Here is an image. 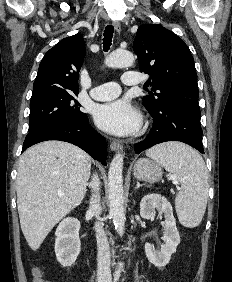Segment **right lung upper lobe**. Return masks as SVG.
<instances>
[{
    "label": "right lung upper lobe",
    "instance_id": "right-lung-upper-lobe-1",
    "mask_svg": "<svg viewBox=\"0 0 232 282\" xmlns=\"http://www.w3.org/2000/svg\"><path fill=\"white\" fill-rule=\"evenodd\" d=\"M84 57L85 44L80 34L62 39L47 51L42 59L33 91L46 89L78 91V72Z\"/></svg>",
    "mask_w": 232,
    "mask_h": 282
}]
</instances>
